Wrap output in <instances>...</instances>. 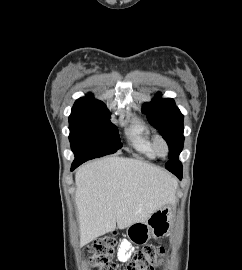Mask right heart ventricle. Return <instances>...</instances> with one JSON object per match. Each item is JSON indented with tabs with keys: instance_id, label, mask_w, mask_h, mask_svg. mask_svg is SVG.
Wrapping results in <instances>:
<instances>
[{
	"instance_id": "e07e8e85",
	"label": "right heart ventricle",
	"mask_w": 242,
	"mask_h": 270,
	"mask_svg": "<svg viewBox=\"0 0 242 270\" xmlns=\"http://www.w3.org/2000/svg\"><path fill=\"white\" fill-rule=\"evenodd\" d=\"M132 147L148 158H155L154 137L150 129L140 120H134L126 132Z\"/></svg>"
}]
</instances>
